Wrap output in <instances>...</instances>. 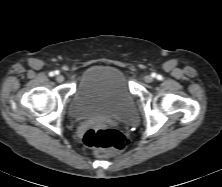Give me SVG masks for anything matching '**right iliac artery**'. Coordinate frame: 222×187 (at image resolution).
<instances>
[{"label": "right iliac artery", "instance_id": "right-iliac-artery-1", "mask_svg": "<svg viewBox=\"0 0 222 187\" xmlns=\"http://www.w3.org/2000/svg\"><path fill=\"white\" fill-rule=\"evenodd\" d=\"M58 73H59L58 71H55V72H50V73H49V76H51V77H52V76H54V75H56V74H58Z\"/></svg>", "mask_w": 222, "mask_h": 187}]
</instances>
